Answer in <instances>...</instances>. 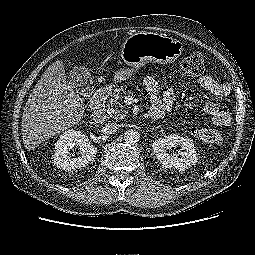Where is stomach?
Masks as SVG:
<instances>
[{"instance_id": "obj_1", "label": "stomach", "mask_w": 255, "mask_h": 255, "mask_svg": "<svg viewBox=\"0 0 255 255\" xmlns=\"http://www.w3.org/2000/svg\"><path fill=\"white\" fill-rule=\"evenodd\" d=\"M180 41L165 34L138 32L131 34L121 46L120 56L126 67L119 68L113 82L119 84L135 76L148 63L170 64L183 52Z\"/></svg>"}]
</instances>
